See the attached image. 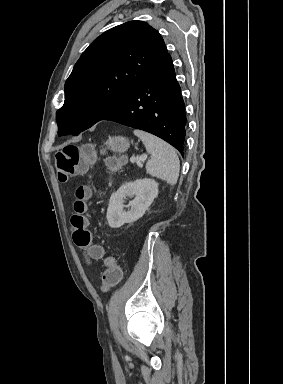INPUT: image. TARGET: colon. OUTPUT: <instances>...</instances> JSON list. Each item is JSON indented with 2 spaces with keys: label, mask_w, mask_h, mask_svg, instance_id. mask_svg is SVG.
Returning a JSON list of instances; mask_svg holds the SVG:
<instances>
[{
  "label": "colon",
  "mask_w": 283,
  "mask_h": 384,
  "mask_svg": "<svg viewBox=\"0 0 283 384\" xmlns=\"http://www.w3.org/2000/svg\"><path fill=\"white\" fill-rule=\"evenodd\" d=\"M94 159L93 148L90 145L76 146L68 145L59 150L55 155V166L60 181L65 182L69 178L81 174ZM123 160L111 157L107 164L110 170H117ZM91 197V189L88 186H79L76 190L74 202V213L71 224L74 228L73 241L80 248H86L95 259H104L105 271L102 275L101 289L109 291L122 279V271L113 256L106 255L104 248L98 244H92V235L88 229L87 201Z\"/></svg>",
  "instance_id": "obj_1"
}]
</instances>
